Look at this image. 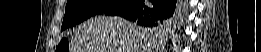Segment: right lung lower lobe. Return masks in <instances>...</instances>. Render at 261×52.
<instances>
[{"label": "right lung lower lobe", "mask_w": 261, "mask_h": 52, "mask_svg": "<svg viewBox=\"0 0 261 52\" xmlns=\"http://www.w3.org/2000/svg\"><path fill=\"white\" fill-rule=\"evenodd\" d=\"M150 2L152 5L147 6L144 0H124L103 13L122 16L149 27L163 23L173 16L176 0H150Z\"/></svg>", "instance_id": "1"}]
</instances>
